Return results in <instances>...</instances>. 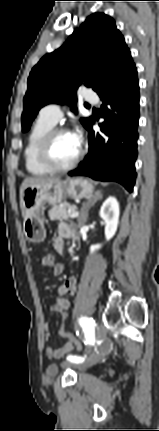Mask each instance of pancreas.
I'll list each match as a JSON object with an SVG mask.
<instances>
[{
  "instance_id": "pancreas-1",
  "label": "pancreas",
  "mask_w": 159,
  "mask_h": 431,
  "mask_svg": "<svg viewBox=\"0 0 159 431\" xmlns=\"http://www.w3.org/2000/svg\"><path fill=\"white\" fill-rule=\"evenodd\" d=\"M68 210H71V212H74L77 210V207L75 205H71L64 202L60 205H55L53 208H51L48 212V215L51 220L63 221V220H67L69 217L70 213Z\"/></svg>"
}]
</instances>
